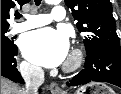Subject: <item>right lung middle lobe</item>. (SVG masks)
I'll return each instance as SVG.
<instances>
[{"label":"right lung middle lobe","mask_w":121,"mask_h":94,"mask_svg":"<svg viewBox=\"0 0 121 94\" xmlns=\"http://www.w3.org/2000/svg\"><path fill=\"white\" fill-rule=\"evenodd\" d=\"M9 29L1 30V48H10L16 46L13 41L7 37Z\"/></svg>","instance_id":"dd1d6c3e"}]
</instances>
